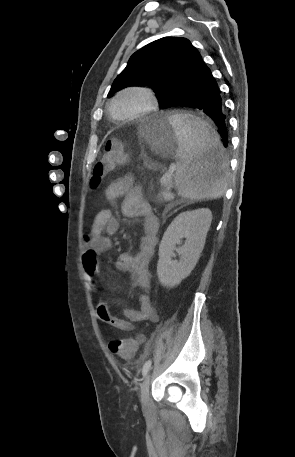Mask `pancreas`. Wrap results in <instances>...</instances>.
<instances>
[{"mask_svg": "<svg viewBox=\"0 0 295 457\" xmlns=\"http://www.w3.org/2000/svg\"><path fill=\"white\" fill-rule=\"evenodd\" d=\"M162 189L160 193L158 194V197L161 200H171L173 198V194L170 192V188L172 187L171 181H168L167 183H161Z\"/></svg>", "mask_w": 295, "mask_h": 457, "instance_id": "cf45deb5", "label": "pancreas"}]
</instances>
